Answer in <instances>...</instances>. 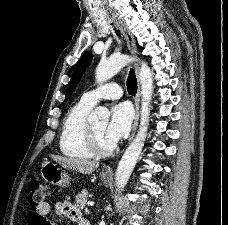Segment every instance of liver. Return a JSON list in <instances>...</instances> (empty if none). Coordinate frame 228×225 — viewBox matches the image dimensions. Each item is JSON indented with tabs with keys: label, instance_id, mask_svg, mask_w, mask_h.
Here are the masks:
<instances>
[{
	"label": "liver",
	"instance_id": "6515ba94",
	"mask_svg": "<svg viewBox=\"0 0 228 225\" xmlns=\"http://www.w3.org/2000/svg\"><path fill=\"white\" fill-rule=\"evenodd\" d=\"M51 159L59 163L64 169L78 171L82 175H89V173H93L99 167L97 161H84V159H72V157H55V155H51Z\"/></svg>",
	"mask_w": 228,
	"mask_h": 225
}]
</instances>
